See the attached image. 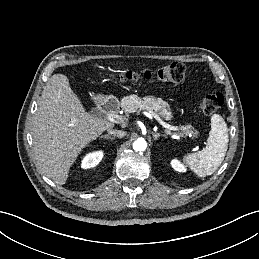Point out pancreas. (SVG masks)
Here are the masks:
<instances>
[{"label":"pancreas","instance_id":"obj_1","mask_svg":"<svg viewBox=\"0 0 259 259\" xmlns=\"http://www.w3.org/2000/svg\"><path fill=\"white\" fill-rule=\"evenodd\" d=\"M120 106L127 113H133L137 110H146L162 118L170 119L172 117L169 104L161 98H156L154 96H146L143 99L137 95L126 96L122 98ZM181 130L183 131L181 136L189 133H192L195 136L198 134L191 125L182 126Z\"/></svg>","mask_w":259,"mask_h":259}]
</instances>
